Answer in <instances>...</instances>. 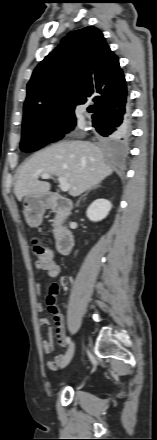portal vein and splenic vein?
<instances>
[{
	"label": "portal vein and splenic vein",
	"mask_w": 157,
	"mask_h": 440,
	"mask_svg": "<svg viewBox=\"0 0 157 440\" xmlns=\"http://www.w3.org/2000/svg\"><path fill=\"white\" fill-rule=\"evenodd\" d=\"M41 178H42V179H49V178H51V175H50V174H42V175H41ZM58 181H59V183H60V189H61V191L66 192V191L69 190L70 185H69V183L67 182V180H66L65 178H63V177H58Z\"/></svg>",
	"instance_id": "18ae733b"
}]
</instances>
